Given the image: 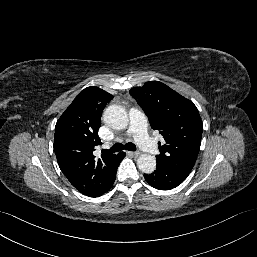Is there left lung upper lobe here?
<instances>
[{
	"mask_svg": "<svg viewBox=\"0 0 257 257\" xmlns=\"http://www.w3.org/2000/svg\"><path fill=\"white\" fill-rule=\"evenodd\" d=\"M130 94L148 116L152 129L164 137L157 163L188 176L197 159L203 131L196 106L158 81L134 87Z\"/></svg>",
	"mask_w": 257,
	"mask_h": 257,
	"instance_id": "obj_1",
	"label": "left lung upper lobe"
}]
</instances>
